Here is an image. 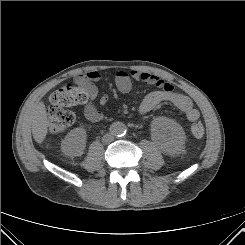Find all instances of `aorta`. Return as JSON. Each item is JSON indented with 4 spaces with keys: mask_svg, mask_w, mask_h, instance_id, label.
Returning a JSON list of instances; mask_svg holds the SVG:
<instances>
[{
    "mask_svg": "<svg viewBox=\"0 0 245 245\" xmlns=\"http://www.w3.org/2000/svg\"><path fill=\"white\" fill-rule=\"evenodd\" d=\"M127 127L122 122H116L111 125V133L115 136H122L126 133Z\"/></svg>",
    "mask_w": 245,
    "mask_h": 245,
    "instance_id": "1",
    "label": "aorta"
}]
</instances>
